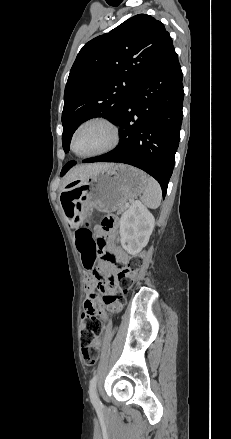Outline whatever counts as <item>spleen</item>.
<instances>
[{"instance_id":"1","label":"spleen","mask_w":231,"mask_h":439,"mask_svg":"<svg viewBox=\"0 0 231 439\" xmlns=\"http://www.w3.org/2000/svg\"><path fill=\"white\" fill-rule=\"evenodd\" d=\"M162 199V190L159 183L152 177H148V184L142 196L145 207L156 209Z\"/></svg>"}]
</instances>
